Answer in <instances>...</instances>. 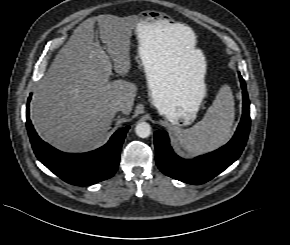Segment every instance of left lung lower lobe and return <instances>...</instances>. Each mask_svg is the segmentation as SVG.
I'll use <instances>...</instances> for the list:
<instances>
[{"label":"left lung lower lobe","instance_id":"1","mask_svg":"<svg viewBox=\"0 0 290 245\" xmlns=\"http://www.w3.org/2000/svg\"><path fill=\"white\" fill-rule=\"evenodd\" d=\"M239 78L243 94L242 119L233 138L223 147L193 160H186L173 152L165 131L155 132L156 163L164 174L189 184H202L224 171L239 158L245 147L251 122L246 85L240 73Z\"/></svg>","mask_w":290,"mask_h":245}]
</instances>
